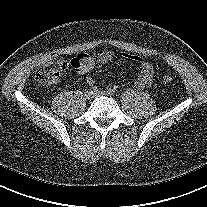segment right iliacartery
<instances>
[{"instance_id":"1","label":"right iliac artery","mask_w":207,"mask_h":207,"mask_svg":"<svg viewBox=\"0 0 207 207\" xmlns=\"http://www.w3.org/2000/svg\"><path fill=\"white\" fill-rule=\"evenodd\" d=\"M90 90L92 93L98 92V88L96 86L92 87Z\"/></svg>"}]
</instances>
